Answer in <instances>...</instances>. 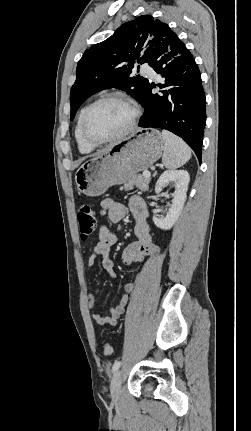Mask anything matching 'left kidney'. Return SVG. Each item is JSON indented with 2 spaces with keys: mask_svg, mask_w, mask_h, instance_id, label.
Segmentation results:
<instances>
[{
  "mask_svg": "<svg viewBox=\"0 0 251 431\" xmlns=\"http://www.w3.org/2000/svg\"><path fill=\"white\" fill-rule=\"evenodd\" d=\"M189 181V174L185 170H167L159 177L155 186V192L157 194L161 192L162 188L168 183H174L175 191L172 193V205L166 216L162 218L153 216V222L158 228L169 230L179 218L186 201Z\"/></svg>",
  "mask_w": 251,
  "mask_h": 431,
  "instance_id": "obj_1",
  "label": "left kidney"
}]
</instances>
